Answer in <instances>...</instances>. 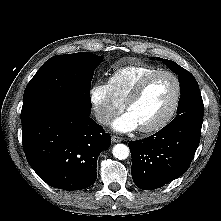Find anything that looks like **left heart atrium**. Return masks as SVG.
Wrapping results in <instances>:
<instances>
[{"label": "left heart atrium", "mask_w": 221, "mask_h": 221, "mask_svg": "<svg viewBox=\"0 0 221 221\" xmlns=\"http://www.w3.org/2000/svg\"><path fill=\"white\" fill-rule=\"evenodd\" d=\"M112 128L117 132H129L138 128V124L131 113L126 112L113 121Z\"/></svg>", "instance_id": "39dd6f15"}]
</instances>
